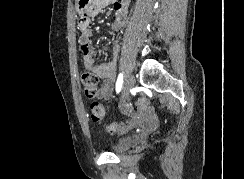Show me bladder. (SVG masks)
Wrapping results in <instances>:
<instances>
[{"label": "bladder", "instance_id": "obj_1", "mask_svg": "<svg viewBox=\"0 0 244 179\" xmlns=\"http://www.w3.org/2000/svg\"><path fill=\"white\" fill-rule=\"evenodd\" d=\"M136 137H123L117 141L116 146L113 148L116 154H122L124 152L129 151L135 145Z\"/></svg>", "mask_w": 244, "mask_h": 179}]
</instances>
